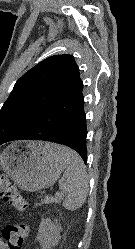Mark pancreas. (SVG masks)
I'll return each mask as SVG.
<instances>
[{"label": "pancreas", "instance_id": "pancreas-1", "mask_svg": "<svg viewBox=\"0 0 135 249\" xmlns=\"http://www.w3.org/2000/svg\"><path fill=\"white\" fill-rule=\"evenodd\" d=\"M54 199L52 197H45L44 199H41V203H38L37 205H41V204H49V203H53Z\"/></svg>", "mask_w": 135, "mask_h": 249}]
</instances>
